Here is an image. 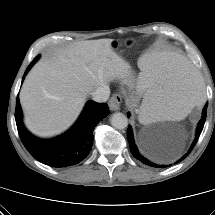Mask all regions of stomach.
<instances>
[{
    "label": "stomach",
    "instance_id": "stomach-1",
    "mask_svg": "<svg viewBox=\"0 0 215 215\" xmlns=\"http://www.w3.org/2000/svg\"><path fill=\"white\" fill-rule=\"evenodd\" d=\"M125 84L127 85L129 90H132L133 88L138 89L140 87L139 79L135 81L133 76L131 75H129V77L126 79Z\"/></svg>",
    "mask_w": 215,
    "mask_h": 215
}]
</instances>
